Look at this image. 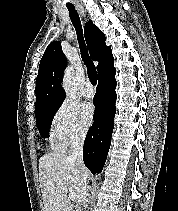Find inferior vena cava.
<instances>
[{
    "instance_id": "602c4592",
    "label": "inferior vena cava",
    "mask_w": 178,
    "mask_h": 211,
    "mask_svg": "<svg viewBox=\"0 0 178 211\" xmlns=\"http://www.w3.org/2000/svg\"><path fill=\"white\" fill-rule=\"evenodd\" d=\"M86 132L80 131L75 138L72 141L71 148H72V153L69 156V158L73 161H76V163L80 166L83 167V144L85 140ZM82 195L84 198V204L87 202V182L84 183L82 187Z\"/></svg>"
}]
</instances>
